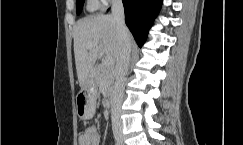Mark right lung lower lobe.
Returning <instances> with one entry per match:
<instances>
[{
	"label": "right lung lower lobe",
	"instance_id": "1",
	"mask_svg": "<svg viewBox=\"0 0 243 145\" xmlns=\"http://www.w3.org/2000/svg\"><path fill=\"white\" fill-rule=\"evenodd\" d=\"M125 22L139 47L144 44L148 31L157 16L162 0H122Z\"/></svg>",
	"mask_w": 243,
	"mask_h": 145
}]
</instances>
